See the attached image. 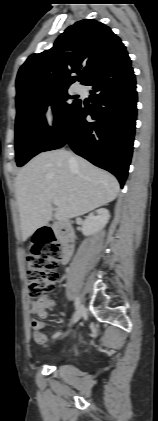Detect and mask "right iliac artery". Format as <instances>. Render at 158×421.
I'll return each mask as SVG.
<instances>
[{
    "label": "right iliac artery",
    "instance_id": "1",
    "mask_svg": "<svg viewBox=\"0 0 158 421\" xmlns=\"http://www.w3.org/2000/svg\"><path fill=\"white\" fill-rule=\"evenodd\" d=\"M79 305H80V299L77 297L75 299V308L77 309L79 307ZM59 335H60V332H57L53 335V338H57Z\"/></svg>",
    "mask_w": 158,
    "mask_h": 421
}]
</instances>
